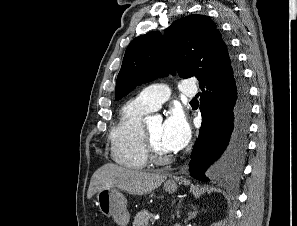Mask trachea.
I'll list each match as a JSON object with an SVG mask.
<instances>
[{
    "label": "trachea",
    "instance_id": "3493384b",
    "mask_svg": "<svg viewBox=\"0 0 297 226\" xmlns=\"http://www.w3.org/2000/svg\"><path fill=\"white\" fill-rule=\"evenodd\" d=\"M191 102H192V103H193V102H198V100H197V98H194V99L191 100Z\"/></svg>",
    "mask_w": 297,
    "mask_h": 226
}]
</instances>
